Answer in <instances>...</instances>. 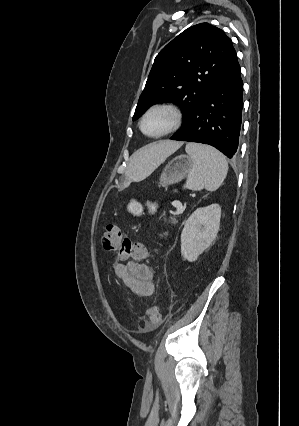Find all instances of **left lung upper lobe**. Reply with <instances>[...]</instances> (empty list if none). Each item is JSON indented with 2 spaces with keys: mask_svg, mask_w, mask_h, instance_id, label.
I'll return each instance as SVG.
<instances>
[{
  "mask_svg": "<svg viewBox=\"0 0 299 426\" xmlns=\"http://www.w3.org/2000/svg\"><path fill=\"white\" fill-rule=\"evenodd\" d=\"M234 53L221 29L209 23L186 29L156 56L133 120L154 103L175 102L183 109V128Z\"/></svg>",
  "mask_w": 299,
  "mask_h": 426,
  "instance_id": "1",
  "label": "left lung upper lobe"
}]
</instances>
